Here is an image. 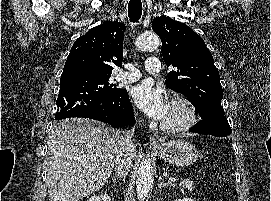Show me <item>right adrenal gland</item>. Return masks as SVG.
Instances as JSON below:
<instances>
[{"label": "right adrenal gland", "instance_id": "1", "mask_svg": "<svg viewBox=\"0 0 271 201\" xmlns=\"http://www.w3.org/2000/svg\"><path fill=\"white\" fill-rule=\"evenodd\" d=\"M110 178L112 179V181H113L114 184H117L118 179H117L116 176H110Z\"/></svg>", "mask_w": 271, "mask_h": 201}]
</instances>
